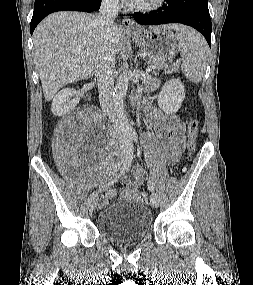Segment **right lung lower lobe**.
I'll return each instance as SVG.
<instances>
[{"label": "right lung lower lobe", "mask_w": 253, "mask_h": 285, "mask_svg": "<svg viewBox=\"0 0 253 285\" xmlns=\"http://www.w3.org/2000/svg\"><path fill=\"white\" fill-rule=\"evenodd\" d=\"M100 2L101 0H35L34 12L30 23L31 34L38 23L52 12L64 10L98 11Z\"/></svg>", "instance_id": "obj_1"}]
</instances>
